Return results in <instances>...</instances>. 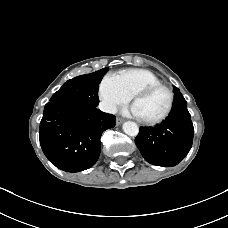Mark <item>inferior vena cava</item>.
<instances>
[{"label":"inferior vena cava","mask_w":228,"mask_h":228,"mask_svg":"<svg viewBox=\"0 0 228 228\" xmlns=\"http://www.w3.org/2000/svg\"><path fill=\"white\" fill-rule=\"evenodd\" d=\"M99 109L103 112L112 113V114H115L117 112L116 106L107 102H101L99 104Z\"/></svg>","instance_id":"obj_1"}]
</instances>
